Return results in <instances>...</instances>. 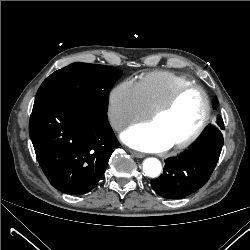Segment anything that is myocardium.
<instances>
[{
    "label": "myocardium",
    "instance_id": "myocardium-1",
    "mask_svg": "<svg viewBox=\"0 0 250 250\" xmlns=\"http://www.w3.org/2000/svg\"><path fill=\"white\" fill-rule=\"evenodd\" d=\"M191 90L198 91L203 97L204 106H205L203 118H202L200 124L198 125V127L194 130V132L192 134H190L185 139H183L177 143H174L172 145L173 148H175V149H184V148L190 146L193 142H195L201 136V134L206 129V127L209 123L210 117H211V100H210L208 93L204 90L203 87H201L198 84H188V85L182 86L179 89H177L164 104H162L161 106H159L158 108L153 110L151 113V116H150V119L153 120L159 116H162V115L170 112L175 107V105L178 103L180 98L185 93H187Z\"/></svg>",
    "mask_w": 250,
    "mask_h": 250
}]
</instances>
